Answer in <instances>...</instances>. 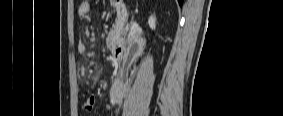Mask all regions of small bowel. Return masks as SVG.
<instances>
[{
    "instance_id": "small-bowel-1",
    "label": "small bowel",
    "mask_w": 283,
    "mask_h": 116,
    "mask_svg": "<svg viewBox=\"0 0 283 116\" xmlns=\"http://www.w3.org/2000/svg\"><path fill=\"white\" fill-rule=\"evenodd\" d=\"M94 11V7L92 6V4L89 1H82L79 8H78V13L80 15H87L91 12ZM77 51L79 54H87V47L84 43H79L77 45ZM112 104L116 103V99H112ZM95 102L96 99L94 96H90L86 99L85 103H84V109L86 111H92L94 106H95ZM109 108H114V105H110Z\"/></svg>"
}]
</instances>
